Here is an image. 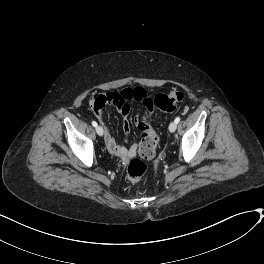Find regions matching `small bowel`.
Instances as JSON below:
<instances>
[{
  "label": "small bowel",
  "instance_id": "1",
  "mask_svg": "<svg viewBox=\"0 0 264 264\" xmlns=\"http://www.w3.org/2000/svg\"><path fill=\"white\" fill-rule=\"evenodd\" d=\"M139 91L143 97L146 96L144 89L140 87H128L123 89L121 92H108L97 94L92 97L90 100V105L93 107L96 115L102 120L104 115V109L106 106L116 107L121 115L123 116L122 129L125 135V142L129 139L130 136V119H129V105L126 103L128 99H135V93ZM139 116L134 117V122L137 124L139 121ZM102 128L105 135V144L108 151L116 156L121 158H126L132 156L137 148V145H133L130 149H127L124 144L119 143L111 134L108 125L102 121Z\"/></svg>",
  "mask_w": 264,
  "mask_h": 264
}]
</instances>
